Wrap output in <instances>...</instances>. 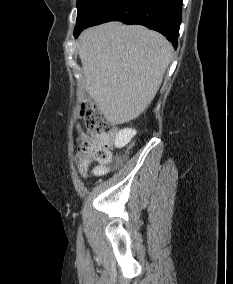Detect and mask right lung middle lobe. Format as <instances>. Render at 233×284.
<instances>
[{
	"label": "right lung middle lobe",
	"mask_w": 233,
	"mask_h": 284,
	"mask_svg": "<svg viewBox=\"0 0 233 284\" xmlns=\"http://www.w3.org/2000/svg\"><path fill=\"white\" fill-rule=\"evenodd\" d=\"M109 1L110 0H77L78 14L75 31L84 27L91 20V18Z\"/></svg>",
	"instance_id": "dd1d6c3e"
}]
</instances>
